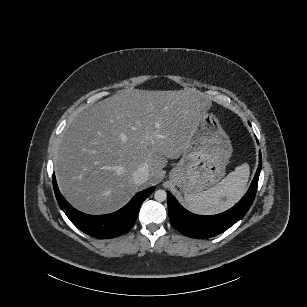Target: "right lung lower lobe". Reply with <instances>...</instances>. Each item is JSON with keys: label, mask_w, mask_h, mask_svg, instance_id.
Here are the masks:
<instances>
[{"label": "right lung lower lobe", "mask_w": 307, "mask_h": 307, "mask_svg": "<svg viewBox=\"0 0 307 307\" xmlns=\"http://www.w3.org/2000/svg\"><path fill=\"white\" fill-rule=\"evenodd\" d=\"M53 188L60 208L70 221L84 233L102 239L120 236L131 229L137 219L141 204L155 189V187H150L137 193L127 205L114 213L93 216L76 210L64 199L57 187L54 175Z\"/></svg>", "instance_id": "98d812e1"}]
</instances>
